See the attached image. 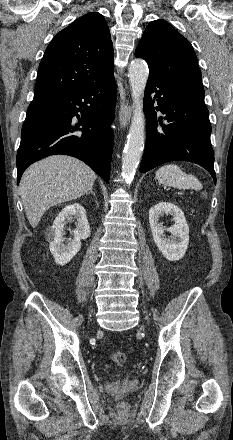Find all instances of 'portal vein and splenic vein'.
I'll use <instances>...</instances> for the list:
<instances>
[{
  "label": "portal vein and splenic vein",
  "mask_w": 233,
  "mask_h": 440,
  "mask_svg": "<svg viewBox=\"0 0 233 440\" xmlns=\"http://www.w3.org/2000/svg\"><path fill=\"white\" fill-rule=\"evenodd\" d=\"M178 194H182V191H178Z\"/></svg>",
  "instance_id": "portal-vein-and-splenic-vein-1"
}]
</instances>
